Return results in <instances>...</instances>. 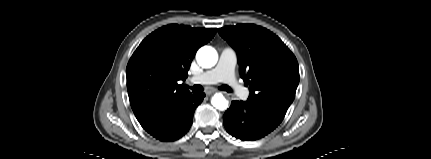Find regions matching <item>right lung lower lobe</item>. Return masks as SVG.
I'll return each instance as SVG.
<instances>
[{"mask_svg":"<svg viewBox=\"0 0 431 159\" xmlns=\"http://www.w3.org/2000/svg\"><path fill=\"white\" fill-rule=\"evenodd\" d=\"M204 93L188 94L175 103L144 129L154 138L169 142L181 138L192 125L196 107L203 101Z\"/></svg>","mask_w":431,"mask_h":159,"instance_id":"obj_1","label":"right lung lower lobe"}]
</instances>
